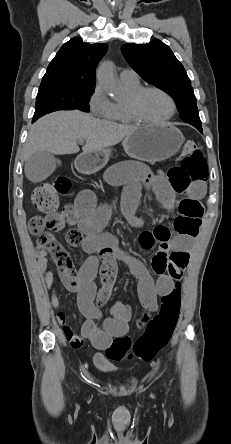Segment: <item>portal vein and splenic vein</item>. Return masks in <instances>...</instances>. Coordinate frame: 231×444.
<instances>
[{
	"instance_id": "obj_1",
	"label": "portal vein and splenic vein",
	"mask_w": 231,
	"mask_h": 444,
	"mask_svg": "<svg viewBox=\"0 0 231 444\" xmlns=\"http://www.w3.org/2000/svg\"><path fill=\"white\" fill-rule=\"evenodd\" d=\"M79 143H81V144H82V143H84V141H83V140H79Z\"/></svg>"
}]
</instances>
